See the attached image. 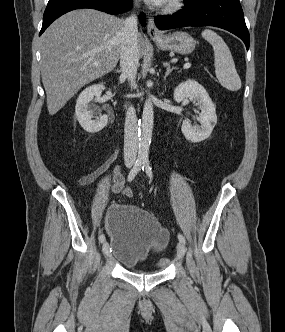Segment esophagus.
<instances>
[{"label": "esophagus", "mask_w": 285, "mask_h": 332, "mask_svg": "<svg viewBox=\"0 0 285 332\" xmlns=\"http://www.w3.org/2000/svg\"><path fill=\"white\" fill-rule=\"evenodd\" d=\"M147 32L151 38H158L162 36V33L157 28L154 19L152 17H149L148 19Z\"/></svg>", "instance_id": "esophagus-1"}]
</instances>
